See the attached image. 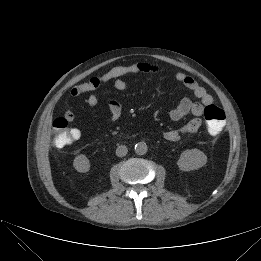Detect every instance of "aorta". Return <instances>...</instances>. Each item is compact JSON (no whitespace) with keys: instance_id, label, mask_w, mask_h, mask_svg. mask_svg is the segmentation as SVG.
I'll return each mask as SVG.
<instances>
[{"instance_id":"aorta-1","label":"aorta","mask_w":261,"mask_h":261,"mask_svg":"<svg viewBox=\"0 0 261 261\" xmlns=\"http://www.w3.org/2000/svg\"><path fill=\"white\" fill-rule=\"evenodd\" d=\"M148 151V146L145 142H138L135 145V153L137 155H145Z\"/></svg>"}]
</instances>
